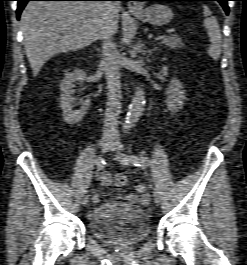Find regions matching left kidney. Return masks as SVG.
Returning <instances> with one entry per match:
<instances>
[{
	"mask_svg": "<svg viewBox=\"0 0 247 265\" xmlns=\"http://www.w3.org/2000/svg\"><path fill=\"white\" fill-rule=\"evenodd\" d=\"M186 99L185 91L183 90L182 83L173 78L170 81L168 90L166 91V100L168 110L171 113H176L179 109L183 107V101Z\"/></svg>",
	"mask_w": 247,
	"mask_h": 265,
	"instance_id": "obj_1",
	"label": "left kidney"
}]
</instances>
